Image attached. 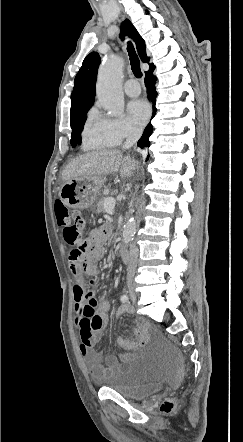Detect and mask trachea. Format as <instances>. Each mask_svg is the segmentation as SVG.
I'll list each match as a JSON object with an SVG mask.
<instances>
[{
  "mask_svg": "<svg viewBox=\"0 0 243 442\" xmlns=\"http://www.w3.org/2000/svg\"><path fill=\"white\" fill-rule=\"evenodd\" d=\"M127 51H128V55L130 58L131 69H132L133 74L135 75V77L141 78L142 72H141V68H140V60L134 50L133 45L130 42H128Z\"/></svg>",
  "mask_w": 243,
  "mask_h": 442,
  "instance_id": "1",
  "label": "trachea"
}]
</instances>
